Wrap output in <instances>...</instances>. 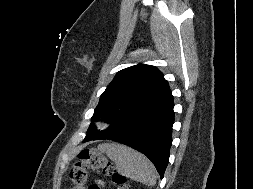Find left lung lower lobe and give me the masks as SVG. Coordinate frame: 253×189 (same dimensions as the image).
I'll return each mask as SVG.
<instances>
[{
	"instance_id": "0a47b994",
	"label": "left lung lower lobe",
	"mask_w": 253,
	"mask_h": 189,
	"mask_svg": "<svg viewBox=\"0 0 253 189\" xmlns=\"http://www.w3.org/2000/svg\"><path fill=\"white\" fill-rule=\"evenodd\" d=\"M173 107L170 91L159 102L137 113L117 128L101 134L86 135L84 142L108 139L131 146L152 161L162 179L172 144Z\"/></svg>"
}]
</instances>
